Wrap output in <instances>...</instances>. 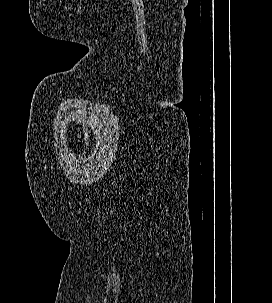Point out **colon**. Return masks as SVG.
<instances>
[{
    "mask_svg": "<svg viewBox=\"0 0 272 303\" xmlns=\"http://www.w3.org/2000/svg\"><path fill=\"white\" fill-rule=\"evenodd\" d=\"M84 141H85V146H88V144H89V131H88V128H85Z\"/></svg>",
    "mask_w": 272,
    "mask_h": 303,
    "instance_id": "obj_1",
    "label": "colon"
}]
</instances>
